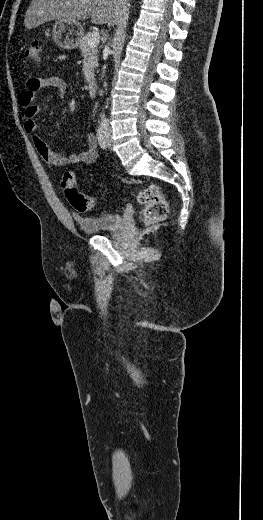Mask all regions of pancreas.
<instances>
[{"label":"pancreas","instance_id":"obj_1","mask_svg":"<svg viewBox=\"0 0 263 520\" xmlns=\"http://www.w3.org/2000/svg\"><path fill=\"white\" fill-rule=\"evenodd\" d=\"M92 33L83 35L79 40V48L82 51L83 56V73L86 82H90L94 79V69L98 65V47H90L88 40L91 38Z\"/></svg>","mask_w":263,"mask_h":520}]
</instances>
